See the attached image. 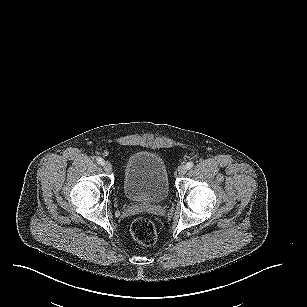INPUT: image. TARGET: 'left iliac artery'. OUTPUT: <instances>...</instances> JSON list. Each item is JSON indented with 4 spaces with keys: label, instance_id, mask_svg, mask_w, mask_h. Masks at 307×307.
Instances as JSON below:
<instances>
[{
    "label": "left iliac artery",
    "instance_id": "obj_1",
    "mask_svg": "<svg viewBox=\"0 0 307 307\" xmlns=\"http://www.w3.org/2000/svg\"><path fill=\"white\" fill-rule=\"evenodd\" d=\"M193 166H194V163L192 161L186 164L187 169H191Z\"/></svg>",
    "mask_w": 307,
    "mask_h": 307
}]
</instances>
